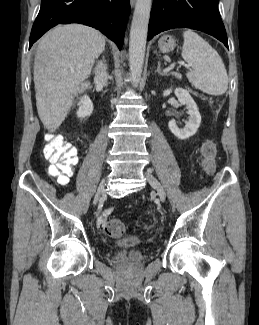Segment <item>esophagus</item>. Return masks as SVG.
Instances as JSON below:
<instances>
[{
    "instance_id": "obj_1",
    "label": "esophagus",
    "mask_w": 259,
    "mask_h": 325,
    "mask_svg": "<svg viewBox=\"0 0 259 325\" xmlns=\"http://www.w3.org/2000/svg\"><path fill=\"white\" fill-rule=\"evenodd\" d=\"M131 6L133 7L135 4V0H130Z\"/></svg>"
}]
</instances>
